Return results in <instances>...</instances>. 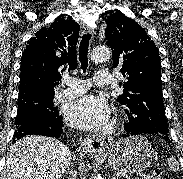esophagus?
<instances>
[{"instance_id":"esophagus-1","label":"esophagus","mask_w":183,"mask_h":179,"mask_svg":"<svg viewBox=\"0 0 183 179\" xmlns=\"http://www.w3.org/2000/svg\"><path fill=\"white\" fill-rule=\"evenodd\" d=\"M83 33L93 34L94 29L86 26L82 30ZM113 138L105 135H89L80 139V145L83 150L89 154H100L104 149L112 144Z\"/></svg>"}]
</instances>
